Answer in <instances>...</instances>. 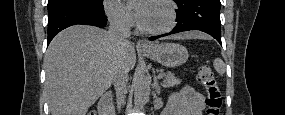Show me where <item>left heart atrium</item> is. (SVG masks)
Returning a JSON list of instances; mask_svg holds the SVG:
<instances>
[{"label": "left heart atrium", "mask_w": 285, "mask_h": 115, "mask_svg": "<svg viewBox=\"0 0 285 115\" xmlns=\"http://www.w3.org/2000/svg\"><path fill=\"white\" fill-rule=\"evenodd\" d=\"M132 3L135 17L141 25H144L148 18V12H149V1L148 0H133L130 1Z\"/></svg>", "instance_id": "left-heart-atrium-1"}]
</instances>
